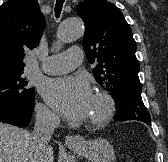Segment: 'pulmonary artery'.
I'll use <instances>...</instances> for the list:
<instances>
[{
    "mask_svg": "<svg viewBox=\"0 0 168 162\" xmlns=\"http://www.w3.org/2000/svg\"><path fill=\"white\" fill-rule=\"evenodd\" d=\"M83 60V51L78 46H73L67 51L52 55L42 63V70L47 74H65Z\"/></svg>",
    "mask_w": 168,
    "mask_h": 162,
    "instance_id": "e3ab8cb5",
    "label": "pulmonary artery"
}]
</instances>
